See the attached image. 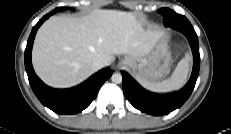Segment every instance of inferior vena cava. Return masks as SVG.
I'll return each instance as SVG.
<instances>
[{"label": "inferior vena cava", "mask_w": 231, "mask_h": 134, "mask_svg": "<svg viewBox=\"0 0 231 134\" xmlns=\"http://www.w3.org/2000/svg\"><path fill=\"white\" fill-rule=\"evenodd\" d=\"M104 66V63L100 60H97V61H94L93 64H92V68L94 70H99L101 69L102 67Z\"/></svg>", "instance_id": "602c4592"}]
</instances>
